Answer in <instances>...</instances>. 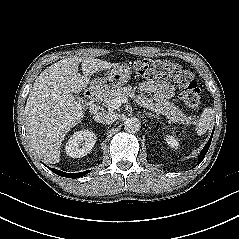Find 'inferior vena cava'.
I'll return each instance as SVG.
<instances>
[{"mask_svg": "<svg viewBox=\"0 0 239 239\" xmlns=\"http://www.w3.org/2000/svg\"><path fill=\"white\" fill-rule=\"evenodd\" d=\"M117 119L113 112L98 113L94 116V120L103 124H112Z\"/></svg>", "mask_w": 239, "mask_h": 239, "instance_id": "inferior-vena-cava-1", "label": "inferior vena cava"}]
</instances>
